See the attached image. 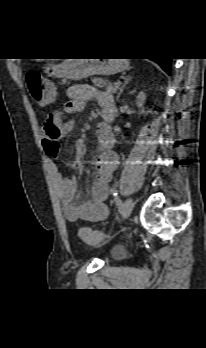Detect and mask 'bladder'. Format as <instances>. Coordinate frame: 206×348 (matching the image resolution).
<instances>
[{
    "mask_svg": "<svg viewBox=\"0 0 206 348\" xmlns=\"http://www.w3.org/2000/svg\"><path fill=\"white\" fill-rule=\"evenodd\" d=\"M111 255L113 258H120L125 255V251L120 248H115L112 250Z\"/></svg>",
    "mask_w": 206,
    "mask_h": 348,
    "instance_id": "obj_1",
    "label": "bladder"
}]
</instances>
